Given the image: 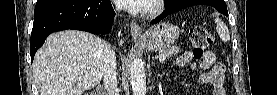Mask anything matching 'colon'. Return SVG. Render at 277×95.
Instances as JSON below:
<instances>
[{
	"mask_svg": "<svg viewBox=\"0 0 277 95\" xmlns=\"http://www.w3.org/2000/svg\"><path fill=\"white\" fill-rule=\"evenodd\" d=\"M189 37L196 57H200L213 43V37L203 27H195L191 29Z\"/></svg>",
	"mask_w": 277,
	"mask_h": 95,
	"instance_id": "5ec220e1",
	"label": "colon"
}]
</instances>
